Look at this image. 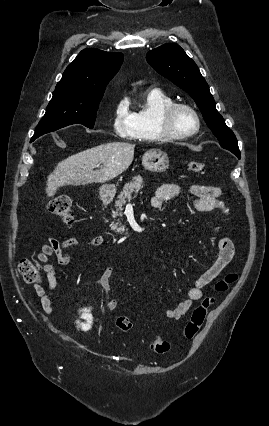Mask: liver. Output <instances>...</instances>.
<instances>
[{"mask_svg":"<svg viewBox=\"0 0 269 426\" xmlns=\"http://www.w3.org/2000/svg\"><path fill=\"white\" fill-rule=\"evenodd\" d=\"M134 148L131 143L110 142L69 156L47 177V196L53 197L61 186L104 183L117 177L131 165Z\"/></svg>","mask_w":269,"mask_h":426,"instance_id":"1","label":"liver"}]
</instances>
